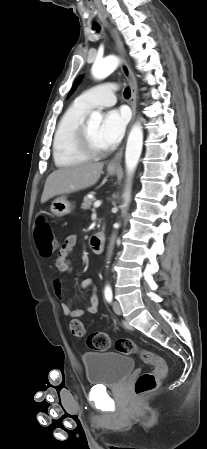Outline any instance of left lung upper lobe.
<instances>
[{
    "instance_id": "left-lung-upper-lobe-1",
    "label": "left lung upper lobe",
    "mask_w": 207,
    "mask_h": 449,
    "mask_svg": "<svg viewBox=\"0 0 207 449\" xmlns=\"http://www.w3.org/2000/svg\"><path fill=\"white\" fill-rule=\"evenodd\" d=\"M81 78H78L75 83L73 84V87L69 93V95L75 90V88L77 87L78 83L80 82Z\"/></svg>"
}]
</instances>
